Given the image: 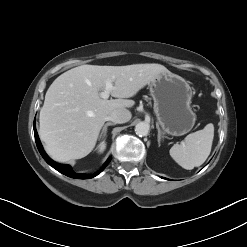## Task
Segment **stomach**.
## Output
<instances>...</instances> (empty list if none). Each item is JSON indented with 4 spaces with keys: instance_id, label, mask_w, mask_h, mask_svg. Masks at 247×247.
Segmentation results:
<instances>
[{
    "instance_id": "0dacf381",
    "label": "stomach",
    "mask_w": 247,
    "mask_h": 247,
    "mask_svg": "<svg viewBox=\"0 0 247 247\" xmlns=\"http://www.w3.org/2000/svg\"><path fill=\"white\" fill-rule=\"evenodd\" d=\"M154 112L164 134L182 136L193 128L196 115L191 108L188 82L171 72L160 73L150 83Z\"/></svg>"
}]
</instances>
